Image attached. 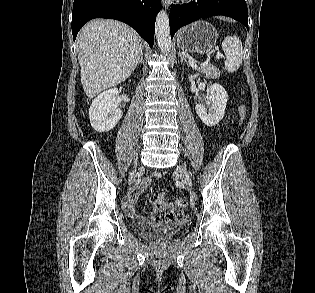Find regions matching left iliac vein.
<instances>
[{"label": "left iliac vein", "instance_id": "1", "mask_svg": "<svg viewBox=\"0 0 315 293\" xmlns=\"http://www.w3.org/2000/svg\"><path fill=\"white\" fill-rule=\"evenodd\" d=\"M176 171L180 174L181 180L187 185L191 186L192 184V179L191 175L188 172L187 168L183 165H178L176 167Z\"/></svg>", "mask_w": 315, "mask_h": 293}]
</instances>
